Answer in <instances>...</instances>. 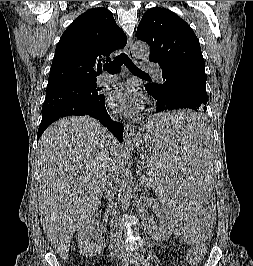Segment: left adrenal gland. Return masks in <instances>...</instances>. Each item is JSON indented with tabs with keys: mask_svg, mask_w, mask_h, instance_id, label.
Instances as JSON below:
<instances>
[{
	"mask_svg": "<svg viewBox=\"0 0 253 266\" xmlns=\"http://www.w3.org/2000/svg\"><path fill=\"white\" fill-rule=\"evenodd\" d=\"M142 186H143V183L141 182L140 185H139V187H142Z\"/></svg>",
	"mask_w": 253,
	"mask_h": 266,
	"instance_id": "left-adrenal-gland-1",
	"label": "left adrenal gland"
}]
</instances>
